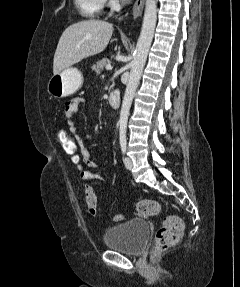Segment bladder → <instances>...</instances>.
I'll list each match as a JSON object with an SVG mask.
<instances>
[{"label":"bladder","instance_id":"1","mask_svg":"<svg viewBox=\"0 0 240 287\" xmlns=\"http://www.w3.org/2000/svg\"><path fill=\"white\" fill-rule=\"evenodd\" d=\"M150 227L144 219L129 221L111 226L104 233V245L128 255H140L148 241Z\"/></svg>","mask_w":240,"mask_h":287}]
</instances>
